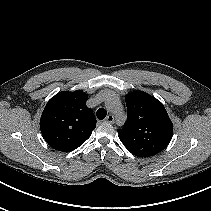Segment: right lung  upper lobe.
I'll list each match as a JSON object with an SVG mask.
<instances>
[{
  "label": "right lung upper lobe",
  "mask_w": 211,
  "mask_h": 211,
  "mask_svg": "<svg viewBox=\"0 0 211 211\" xmlns=\"http://www.w3.org/2000/svg\"><path fill=\"white\" fill-rule=\"evenodd\" d=\"M87 94L81 90L60 92L46 104L40 129L55 150L71 152L82 145L95 129L93 112L86 106Z\"/></svg>",
  "instance_id": "1"
}]
</instances>
